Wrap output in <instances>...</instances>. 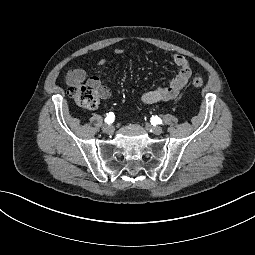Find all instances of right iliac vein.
Segmentation results:
<instances>
[{
  "instance_id": "right-iliac-vein-1",
  "label": "right iliac vein",
  "mask_w": 255,
  "mask_h": 255,
  "mask_svg": "<svg viewBox=\"0 0 255 255\" xmlns=\"http://www.w3.org/2000/svg\"><path fill=\"white\" fill-rule=\"evenodd\" d=\"M103 132L106 134H112L114 132V128L112 125L105 124L102 128Z\"/></svg>"
}]
</instances>
